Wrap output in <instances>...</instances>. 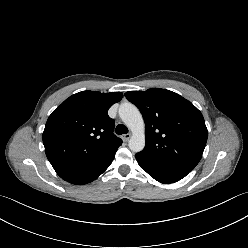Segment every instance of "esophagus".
Masks as SVG:
<instances>
[{"label": "esophagus", "mask_w": 248, "mask_h": 248, "mask_svg": "<svg viewBox=\"0 0 248 248\" xmlns=\"http://www.w3.org/2000/svg\"><path fill=\"white\" fill-rule=\"evenodd\" d=\"M122 138H123L124 141L127 142L131 138V134H129V133L128 134H125V135H123Z\"/></svg>", "instance_id": "esophagus-1"}]
</instances>
